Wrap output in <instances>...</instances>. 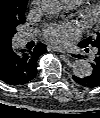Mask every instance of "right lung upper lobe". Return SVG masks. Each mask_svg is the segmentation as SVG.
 Masks as SVG:
<instances>
[{
	"label": "right lung upper lobe",
	"mask_w": 100,
	"mask_h": 118,
	"mask_svg": "<svg viewBox=\"0 0 100 118\" xmlns=\"http://www.w3.org/2000/svg\"><path fill=\"white\" fill-rule=\"evenodd\" d=\"M28 0H0V52L11 48L16 26L25 22Z\"/></svg>",
	"instance_id": "obj_1"
}]
</instances>
